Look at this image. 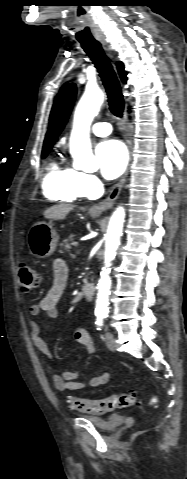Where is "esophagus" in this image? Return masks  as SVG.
Wrapping results in <instances>:
<instances>
[{
  "instance_id": "1",
  "label": "esophagus",
  "mask_w": 187,
  "mask_h": 479,
  "mask_svg": "<svg viewBox=\"0 0 187 479\" xmlns=\"http://www.w3.org/2000/svg\"><path fill=\"white\" fill-rule=\"evenodd\" d=\"M100 42L105 47V49L109 53H111V47L107 44V42L103 39H101ZM126 137H127V145H128L129 155H130V159H129V163H130V161H131V151H132V142H131V139H130V131H129L128 126H126ZM128 170H129V167H127V169L125 170V172H124L122 178L119 180V182L116 183L111 188V190L109 192V195L107 196L106 199H104L100 203L95 204V205L90 207V209H89L90 213L101 214L103 211L108 210L113 206V204L115 203L116 199L118 198V196L121 192V189H122V187H123V185L126 181V178H127V175H128Z\"/></svg>"
}]
</instances>
